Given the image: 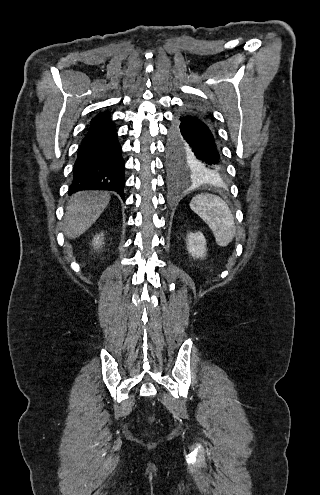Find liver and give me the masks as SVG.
<instances>
[{
    "instance_id": "1",
    "label": "liver",
    "mask_w": 320,
    "mask_h": 495,
    "mask_svg": "<svg viewBox=\"0 0 320 495\" xmlns=\"http://www.w3.org/2000/svg\"><path fill=\"white\" fill-rule=\"evenodd\" d=\"M110 201L106 191H79L70 197L64 217V232L75 239L85 233L100 217Z\"/></svg>"
}]
</instances>
